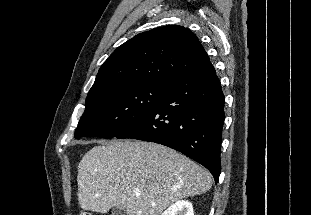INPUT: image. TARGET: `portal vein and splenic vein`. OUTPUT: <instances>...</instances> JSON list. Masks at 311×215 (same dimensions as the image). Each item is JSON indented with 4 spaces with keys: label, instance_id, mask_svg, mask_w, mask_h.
<instances>
[{
    "label": "portal vein and splenic vein",
    "instance_id": "1",
    "mask_svg": "<svg viewBox=\"0 0 311 215\" xmlns=\"http://www.w3.org/2000/svg\"><path fill=\"white\" fill-rule=\"evenodd\" d=\"M135 195L138 197V196H140V193L139 192H135Z\"/></svg>",
    "mask_w": 311,
    "mask_h": 215
}]
</instances>
